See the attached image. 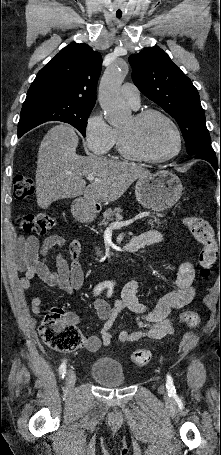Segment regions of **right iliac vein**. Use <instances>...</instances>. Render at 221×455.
I'll return each mask as SVG.
<instances>
[{
	"mask_svg": "<svg viewBox=\"0 0 221 455\" xmlns=\"http://www.w3.org/2000/svg\"><path fill=\"white\" fill-rule=\"evenodd\" d=\"M76 382V374L74 370H69L66 375V388L72 389Z\"/></svg>",
	"mask_w": 221,
	"mask_h": 455,
	"instance_id": "right-iliac-vein-1",
	"label": "right iliac vein"
}]
</instances>
